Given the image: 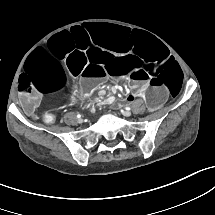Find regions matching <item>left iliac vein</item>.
I'll return each instance as SVG.
<instances>
[{"label":"left iliac vein","instance_id":"1","mask_svg":"<svg viewBox=\"0 0 215 215\" xmlns=\"http://www.w3.org/2000/svg\"><path fill=\"white\" fill-rule=\"evenodd\" d=\"M122 114H123L125 117H130L132 113H131V111L126 110V111H122Z\"/></svg>","mask_w":215,"mask_h":215}]
</instances>
